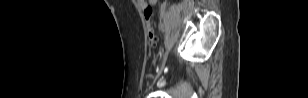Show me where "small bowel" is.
I'll use <instances>...</instances> for the list:
<instances>
[{
  "label": "small bowel",
  "mask_w": 308,
  "mask_h": 98,
  "mask_svg": "<svg viewBox=\"0 0 308 98\" xmlns=\"http://www.w3.org/2000/svg\"><path fill=\"white\" fill-rule=\"evenodd\" d=\"M156 0H150V1H145V0H138L137 3L141 9H145L147 7H150L152 4H154Z\"/></svg>",
  "instance_id": "1"
}]
</instances>
